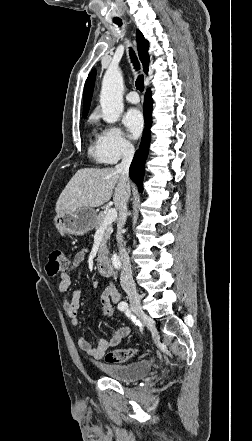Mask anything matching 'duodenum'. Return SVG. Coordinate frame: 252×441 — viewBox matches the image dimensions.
Listing matches in <instances>:
<instances>
[{
	"label": "duodenum",
	"instance_id": "duodenum-1",
	"mask_svg": "<svg viewBox=\"0 0 252 441\" xmlns=\"http://www.w3.org/2000/svg\"><path fill=\"white\" fill-rule=\"evenodd\" d=\"M98 269L100 273L105 276H111L114 274V268L111 261L103 255L98 260Z\"/></svg>",
	"mask_w": 252,
	"mask_h": 441
}]
</instances>
